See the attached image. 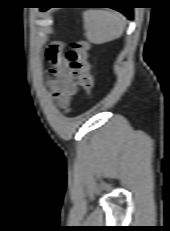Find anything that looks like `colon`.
I'll list each match as a JSON object with an SVG mask.
<instances>
[{
	"label": "colon",
	"instance_id": "colon-1",
	"mask_svg": "<svg viewBox=\"0 0 170 231\" xmlns=\"http://www.w3.org/2000/svg\"><path fill=\"white\" fill-rule=\"evenodd\" d=\"M69 67L84 89L88 98L92 97L94 86L93 67L91 62V45L86 40L73 42L67 53Z\"/></svg>",
	"mask_w": 170,
	"mask_h": 231
}]
</instances>
